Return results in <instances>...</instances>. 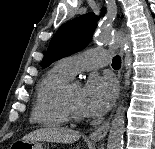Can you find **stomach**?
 Returning <instances> with one entry per match:
<instances>
[{
  "instance_id": "1",
  "label": "stomach",
  "mask_w": 155,
  "mask_h": 149,
  "mask_svg": "<svg viewBox=\"0 0 155 149\" xmlns=\"http://www.w3.org/2000/svg\"><path fill=\"white\" fill-rule=\"evenodd\" d=\"M13 149H46L40 141H16L12 145Z\"/></svg>"
}]
</instances>
